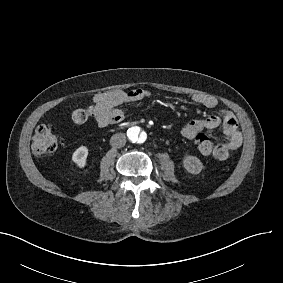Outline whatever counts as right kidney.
Returning a JSON list of instances; mask_svg holds the SVG:
<instances>
[{
  "instance_id": "right-kidney-1",
  "label": "right kidney",
  "mask_w": 283,
  "mask_h": 283,
  "mask_svg": "<svg viewBox=\"0 0 283 283\" xmlns=\"http://www.w3.org/2000/svg\"><path fill=\"white\" fill-rule=\"evenodd\" d=\"M87 156L88 148L85 146H81L73 153L72 160L77 164L79 168H83L86 165Z\"/></svg>"
}]
</instances>
